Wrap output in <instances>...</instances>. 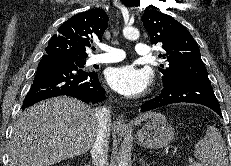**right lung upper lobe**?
Here are the masks:
<instances>
[{
	"label": "right lung upper lobe",
	"instance_id": "cb5924a9",
	"mask_svg": "<svg viewBox=\"0 0 231 166\" xmlns=\"http://www.w3.org/2000/svg\"><path fill=\"white\" fill-rule=\"evenodd\" d=\"M108 16L102 9L78 13L64 22L45 49L46 55L66 61H79L87 57L86 47L93 38H102L108 27Z\"/></svg>",
	"mask_w": 231,
	"mask_h": 166
}]
</instances>
